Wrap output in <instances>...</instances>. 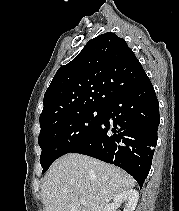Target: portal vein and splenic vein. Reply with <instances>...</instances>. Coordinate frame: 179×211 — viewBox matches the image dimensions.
Segmentation results:
<instances>
[{
    "label": "portal vein and splenic vein",
    "mask_w": 179,
    "mask_h": 211,
    "mask_svg": "<svg viewBox=\"0 0 179 211\" xmlns=\"http://www.w3.org/2000/svg\"><path fill=\"white\" fill-rule=\"evenodd\" d=\"M81 204H86V199L82 198L80 199Z\"/></svg>",
    "instance_id": "obj_1"
}]
</instances>
